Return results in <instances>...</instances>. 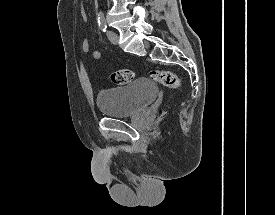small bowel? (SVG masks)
Wrapping results in <instances>:
<instances>
[{
	"label": "small bowel",
	"mask_w": 275,
	"mask_h": 215,
	"mask_svg": "<svg viewBox=\"0 0 275 215\" xmlns=\"http://www.w3.org/2000/svg\"><path fill=\"white\" fill-rule=\"evenodd\" d=\"M82 17H83L84 23H86V15L84 11L82 12ZM81 49L84 53H90L91 51L89 40L86 37L82 39ZM100 57H101V53L98 50H95L91 53V58L94 60H98Z\"/></svg>",
	"instance_id": "1"
}]
</instances>
